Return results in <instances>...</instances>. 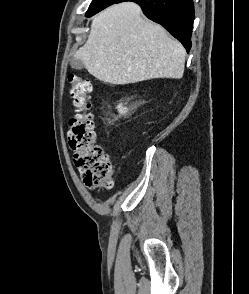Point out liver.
I'll return each mask as SVG.
<instances>
[{
	"label": "liver",
	"instance_id": "liver-1",
	"mask_svg": "<svg viewBox=\"0 0 249 294\" xmlns=\"http://www.w3.org/2000/svg\"><path fill=\"white\" fill-rule=\"evenodd\" d=\"M186 52L132 2L115 4L94 17L88 39L75 54L91 75L124 85L154 78L180 79Z\"/></svg>",
	"mask_w": 249,
	"mask_h": 294
}]
</instances>
